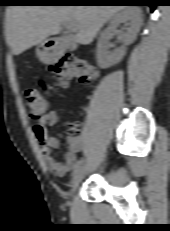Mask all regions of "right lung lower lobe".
<instances>
[{"mask_svg":"<svg viewBox=\"0 0 170 231\" xmlns=\"http://www.w3.org/2000/svg\"><path fill=\"white\" fill-rule=\"evenodd\" d=\"M73 2H66V5H95L92 4L91 2H84V1H89V0H70ZM112 1H125V0H112ZM139 2L140 5H147L150 6L151 10L153 11L155 7L158 5L156 0H140Z\"/></svg>","mask_w":170,"mask_h":231,"instance_id":"right-lung-lower-lobe-1","label":"right lung lower lobe"}]
</instances>
